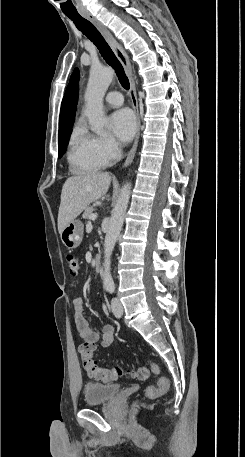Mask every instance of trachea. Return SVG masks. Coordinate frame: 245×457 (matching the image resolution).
Here are the masks:
<instances>
[{
	"instance_id": "obj_1",
	"label": "trachea",
	"mask_w": 245,
	"mask_h": 457,
	"mask_svg": "<svg viewBox=\"0 0 245 457\" xmlns=\"http://www.w3.org/2000/svg\"><path fill=\"white\" fill-rule=\"evenodd\" d=\"M65 15L72 20L80 32L86 35V37L89 38L94 45H96L106 63H108L115 70L122 87L129 90L130 84L121 63L116 58L108 43H106L105 39L93 23L86 20V18L81 17L79 13H65Z\"/></svg>"
}]
</instances>
